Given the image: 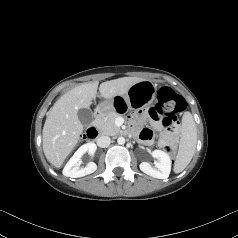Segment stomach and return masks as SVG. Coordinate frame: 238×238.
Segmentation results:
<instances>
[{
  "instance_id": "obj_1",
  "label": "stomach",
  "mask_w": 238,
  "mask_h": 238,
  "mask_svg": "<svg viewBox=\"0 0 238 238\" xmlns=\"http://www.w3.org/2000/svg\"><path fill=\"white\" fill-rule=\"evenodd\" d=\"M156 96V85L149 80H142L130 87L124 95H118L113 99L100 103L96 108L99 116H105L115 111L124 115L134 110L145 109L152 104Z\"/></svg>"
}]
</instances>
